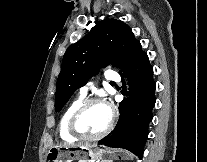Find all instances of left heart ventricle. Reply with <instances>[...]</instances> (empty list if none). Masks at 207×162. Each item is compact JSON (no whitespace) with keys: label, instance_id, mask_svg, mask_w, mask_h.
<instances>
[{"label":"left heart ventricle","instance_id":"left-heart-ventricle-1","mask_svg":"<svg viewBox=\"0 0 207 162\" xmlns=\"http://www.w3.org/2000/svg\"><path fill=\"white\" fill-rule=\"evenodd\" d=\"M110 119V112L106 105L94 104L90 106L79 120V129L87 135L102 132Z\"/></svg>","mask_w":207,"mask_h":162}]
</instances>
